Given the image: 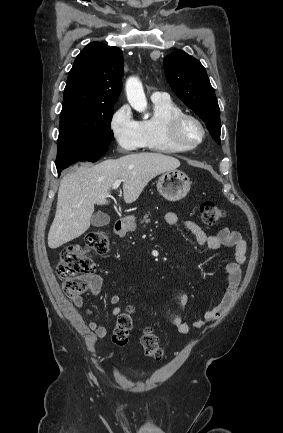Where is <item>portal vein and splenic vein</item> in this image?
Instances as JSON below:
<instances>
[{
	"instance_id": "obj_1",
	"label": "portal vein and splenic vein",
	"mask_w": 283,
	"mask_h": 433,
	"mask_svg": "<svg viewBox=\"0 0 283 433\" xmlns=\"http://www.w3.org/2000/svg\"><path fill=\"white\" fill-rule=\"evenodd\" d=\"M122 180L121 178H117V180H115L114 184H112V188H118V186H120Z\"/></svg>"
}]
</instances>
